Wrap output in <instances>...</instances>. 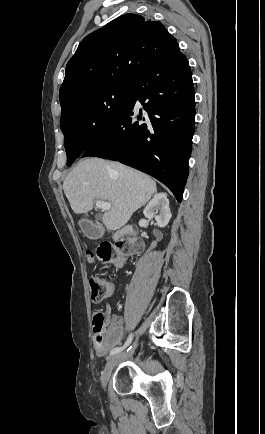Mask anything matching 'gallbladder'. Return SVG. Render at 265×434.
Instances as JSON below:
<instances>
[{
	"label": "gallbladder",
	"mask_w": 265,
	"mask_h": 434,
	"mask_svg": "<svg viewBox=\"0 0 265 434\" xmlns=\"http://www.w3.org/2000/svg\"><path fill=\"white\" fill-rule=\"evenodd\" d=\"M96 218L97 220L98 218H101V214H96ZM81 224H82V230L85 231L87 238L89 239L93 238V240H98V238H101L103 236L102 232L100 231L103 228L102 225L93 224L92 219L84 218L81 221Z\"/></svg>",
	"instance_id": "1"
}]
</instances>
